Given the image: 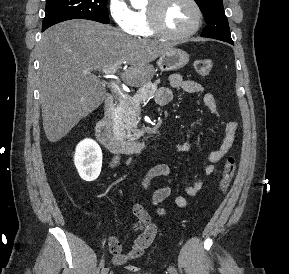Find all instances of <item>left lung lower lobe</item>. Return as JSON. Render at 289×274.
Here are the masks:
<instances>
[{
    "label": "left lung lower lobe",
    "mask_w": 289,
    "mask_h": 274,
    "mask_svg": "<svg viewBox=\"0 0 289 274\" xmlns=\"http://www.w3.org/2000/svg\"><path fill=\"white\" fill-rule=\"evenodd\" d=\"M225 42H228V43H230V44H232V45L234 44L233 41H225Z\"/></svg>",
    "instance_id": "left-lung-lower-lobe-1"
}]
</instances>
